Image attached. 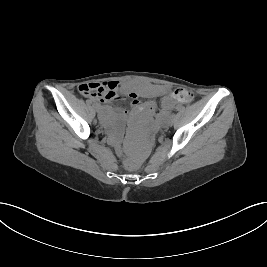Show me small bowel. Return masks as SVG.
Segmentation results:
<instances>
[{
  "mask_svg": "<svg viewBox=\"0 0 267 267\" xmlns=\"http://www.w3.org/2000/svg\"><path fill=\"white\" fill-rule=\"evenodd\" d=\"M96 85H100V83H93ZM106 87H113L117 89L119 86L116 82H107L104 83ZM84 84L79 86V91L81 92ZM122 89L128 91L130 96L132 97V106L134 109L142 110L148 115H152L156 111V104L154 102H146L141 104L138 100V97H146V98H156L161 97V109L162 113L171 110L176 105V100L173 97V90L167 86L156 85V84H147L142 82H133L126 83L121 86ZM99 107L100 105H105L107 100H104L99 97H90ZM119 111H123L119 109Z\"/></svg>",
  "mask_w": 267,
  "mask_h": 267,
  "instance_id": "obj_1",
  "label": "small bowel"
}]
</instances>
